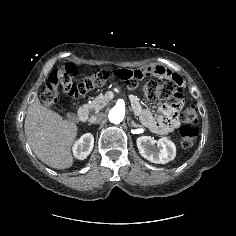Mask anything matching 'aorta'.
<instances>
[{
    "label": "aorta",
    "mask_w": 236,
    "mask_h": 236,
    "mask_svg": "<svg viewBox=\"0 0 236 236\" xmlns=\"http://www.w3.org/2000/svg\"><path fill=\"white\" fill-rule=\"evenodd\" d=\"M125 109L122 106L115 105L108 113V119L113 124H119L123 121Z\"/></svg>",
    "instance_id": "aorta-1"
}]
</instances>
